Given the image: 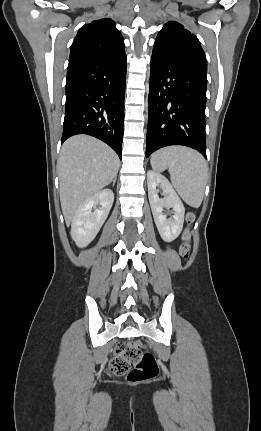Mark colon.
<instances>
[{
    "label": "colon",
    "instance_id": "colon-1",
    "mask_svg": "<svg viewBox=\"0 0 261 431\" xmlns=\"http://www.w3.org/2000/svg\"><path fill=\"white\" fill-rule=\"evenodd\" d=\"M194 219V214L189 212L186 216L188 227L184 232L183 243L179 250L185 260L190 259L192 255L190 227ZM109 370L115 375L127 374L128 381L131 383H142L157 376L158 365L154 355L143 352L139 343L127 342L117 347L115 356L109 363Z\"/></svg>",
    "mask_w": 261,
    "mask_h": 431
}]
</instances>
